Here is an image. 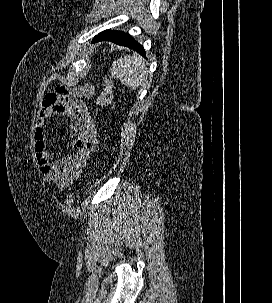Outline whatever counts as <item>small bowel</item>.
<instances>
[{
    "label": "small bowel",
    "instance_id": "small-bowel-1",
    "mask_svg": "<svg viewBox=\"0 0 272 303\" xmlns=\"http://www.w3.org/2000/svg\"><path fill=\"white\" fill-rule=\"evenodd\" d=\"M95 89L91 85L74 88L59 86L48 93L40 108L34 132V152L40 172L47 184L60 190L68 188L87 168L90 154L98 146L95 119L82 100L92 98ZM68 116L71 124L72 151L53 159L47 148L48 130L46 122L54 116Z\"/></svg>",
    "mask_w": 272,
    "mask_h": 303
}]
</instances>
